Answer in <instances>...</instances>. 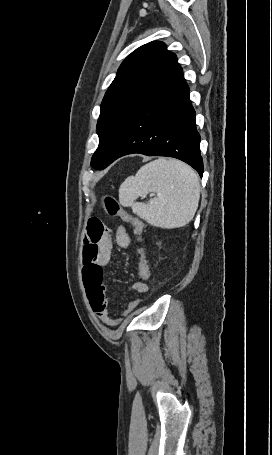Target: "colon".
<instances>
[{
	"instance_id": "5ec220e1",
	"label": "colon",
	"mask_w": 272,
	"mask_h": 455,
	"mask_svg": "<svg viewBox=\"0 0 272 455\" xmlns=\"http://www.w3.org/2000/svg\"><path fill=\"white\" fill-rule=\"evenodd\" d=\"M105 208L109 215H118L125 222L129 223L133 227V231L138 237V240H141L143 224L138 218L134 217L132 214L124 210L117 202V200L111 197L106 198ZM138 275L140 281L142 282L147 283L150 279V266L145 249L142 247L139 249Z\"/></svg>"
}]
</instances>
